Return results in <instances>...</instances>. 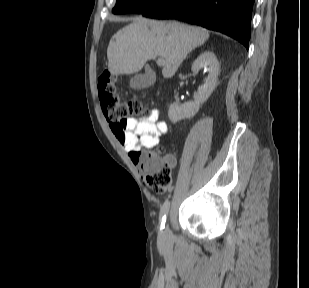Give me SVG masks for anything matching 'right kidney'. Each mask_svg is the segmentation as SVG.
Instances as JSON below:
<instances>
[{
    "instance_id": "obj_1",
    "label": "right kidney",
    "mask_w": 309,
    "mask_h": 288,
    "mask_svg": "<svg viewBox=\"0 0 309 288\" xmlns=\"http://www.w3.org/2000/svg\"><path fill=\"white\" fill-rule=\"evenodd\" d=\"M203 67H208V77L205 83L198 88L194 101L181 105L178 103L170 105L168 116L172 122L175 123L182 119L192 118L217 86L220 66L213 52L205 51L202 53L192 64V72L196 74Z\"/></svg>"
}]
</instances>
